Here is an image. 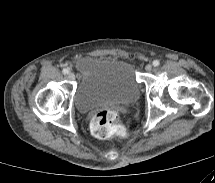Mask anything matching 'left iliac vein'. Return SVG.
<instances>
[{
	"label": "left iliac vein",
	"mask_w": 215,
	"mask_h": 183,
	"mask_svg": "<svg viewBox=\"0 0 215 183\" xmlns=\"http://www.w3.org/2000/svg\"><path fill=\"white\" fill-rule=\"evenodd\" d=\"M145 70L146 71H151L152 70V65L151 64H147L146 66H145Z\"/></svg>",
	"instance_id": "1"
}]
</instances>
